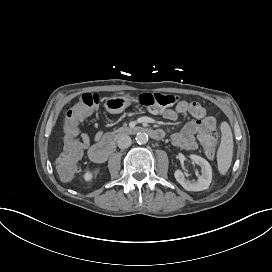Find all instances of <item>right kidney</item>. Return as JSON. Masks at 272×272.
<instances>
[{
    "instance_id": "1",
    "label": "right kidney",
    "mask_w": 272,
    "mask_h": 272,
    "mask_svg": "<svg viewBox=\"0 0 272 272\" xmlns=\"http://www.w3.org/2000/svg\"><path fill=\"white\" fill-rule=\"evenodd\" d=\"M84 179L85 181H90L92 179V173L87 171L85 174H84Z\"/></svg>"
}]
</instances>
